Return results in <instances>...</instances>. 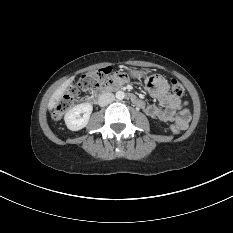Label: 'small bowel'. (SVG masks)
I'll use <instances>...</instances> for the list:
<instances>
[{
	"label": "small bowel",
	"instance_id": "1",
	"mask_svg": "<svg viewBox=\"0 0 233 233\" xmlns=\"http://www.w3.org/2000/svg\"><path fill=\"white\" fill-rule=\"evenodd\" d=\"M135 80V75L126 69L116 72L112 77V82L117 86L125 82L132 84ZM146 85L151 96L161 107L146 104L141 100L138 107L152 118L165 123L174 122L181 130L186 129L191 118L190 110L186 103L169 93L166 80L158 75L149 76L146 79Z\"/></svg>",
	"mask_w": 233,
	"mask_h": 233
}]
</instances>
